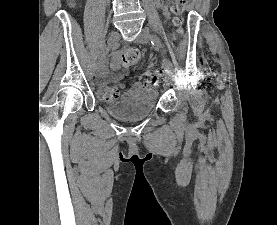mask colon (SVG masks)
I'll return each instance as SVG.
<instances>
[{
  "label": "colon",
  "instance_id": "5ec220e1",
  "mask_svg": "<svg viewBox=\"0 0 277 225\" xmlns=\"http://www.w3.org/2000/svg\"><path fill=\"white\" fill-rule=\"evenodd\" d=\"M189 0H175L171 10L175 15L173 23L176 27L175 35L177 37L181 36L183 33V12ZM141 54L138 49H129L121 52L114 61L115 65L118 66H130L136 64L140 60ZM161 79V74L159 72H145L141 76V84L144 88H153L158 85ZM119 86L117 84H107L99 87L98 97L102 101H113L119 96Z\"/></svg>",
  "mask_w": 277,
  "mask_h": 225
}]
</instances>
